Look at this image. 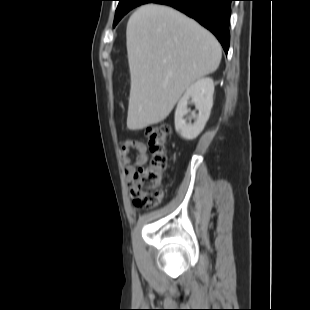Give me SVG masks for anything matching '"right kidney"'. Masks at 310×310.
Returning <instances> with one entry per match:
<instances>
[{"label":"right kidney","instance_id":"ca27d5eb","mask_svg":"<svg viewBox=\"0 0 310 310\" xmlns=\"http://www.w3.org/2000/svg\"><path fill=\"white\" fill-rule=\"evenodd\" d=\"M214 82L212 78L206 77L195 81L179 100L175 111V130L186 140L195 139L204 129L209 119L213 106ZM189 100L195 104L198 114L192 112L189 118L195 122L187 123L184 116L190 113L188 109Z\"/></svg>","mask_w":310,"mask_h":310}]
</instances>
